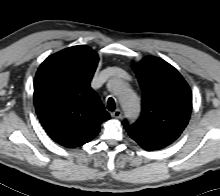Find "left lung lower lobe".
Segmentation results:
<instances>
[{"instance_id": "obj_1", "label": "left lung lower lobe", "mask_w": 220, "mask_h": 196, "mask_svg": "<svg viewBox=\"0 0 220 196\" xmlns=\"http://www.w3.org/2000/svg\"><path fill=\"white\" fill-rule=\"evenodd\" d=\"M130 135V137L132 139H134L143 149L147 150V151H152L149 147H147L146 145H144L137 137H135L133 134L128 133Z\"/></svg>"}]
</instances>
